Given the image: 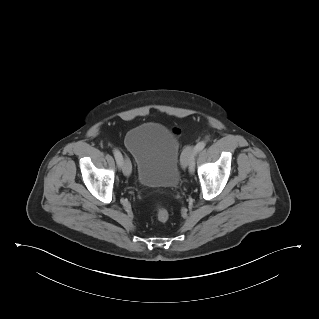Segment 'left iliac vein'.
I'll return each instance as SVG.
<instances>
[{"label":"left iliac vein","instance_id":"left-iliac-vein-1","mask_svg":"<svg viewBox=\"0 0 319 319\" xmlns=\"http://www.w3.org/2000/svg\"><path fill=\"white\" fill-rule=\"evenodd\" d=\"M196 148L194 146H187L181 156V164L183 168H187L190 161L194 158Z\"/></svg>","mask_w":319,"mask_h":319}]
</instances>
